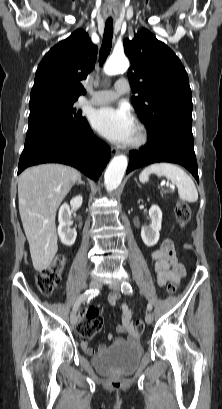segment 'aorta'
Here are the masks:
<instances>
[{"label":"aorta","mask_w":222,"mask_h":409,"mask_svg":"<svg viewBox=\"0 0 222 409\" xmlns=\"http://www.w3.org/2000/svg\"><path fill=\"white\" fill-rule=\"evenodd\" d=\"M129 67L128 59L124 56L112 55L104 66V72L107 75H116L126 71ZM128 160L125 155H119L113 158L107 167L104 175V184L108 191L115 190L121 183L127 169Z\"/></svg>","instance_id":"aorta-1"}]
</instances>
